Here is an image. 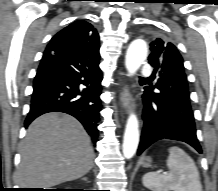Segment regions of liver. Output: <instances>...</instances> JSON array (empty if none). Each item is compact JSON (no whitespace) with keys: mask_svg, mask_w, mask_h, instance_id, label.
<instances>
[{"mask_svg":"<svg viewBox=\"0 0 218 191\" xmlns=\"http://www.w3.org/2000/svg\"><path fill=\"white\" fill-rule=\"evenodd\" d=\"M18 183L23 188H48L76 180L94 165L90 137L72 116L48 113L28 127L21 144Z\"/></svg>","mask_w":218,"mask_h":191,"instance_id":"6515ba94","label":"liver"}]
</instances>
